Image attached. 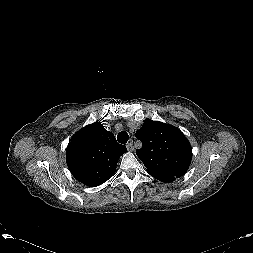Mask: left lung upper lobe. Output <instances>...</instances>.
<instances>
[{
    "label": "left lung upper lobe",
    "instance_id": "5c2ea615",
    "mask_svg": "<svg viewBox=\"0 0 253 253\" xmlns=\"http://www.w3.org/2000/svg\"><path fill=\"white\" fill-rule=\"evenodd\" d=\"M136 138L142 142L136 154L149 174L166 173L180 177L189 168L192 148L178 128L145 119L143 126L136 131Z\"/></svg>",
    "mask_w": 253,
    "mask_h": 253
}]
</instances>
